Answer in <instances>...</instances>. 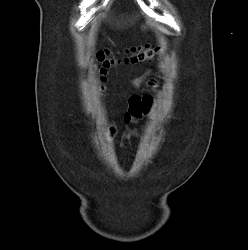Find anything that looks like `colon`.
Instances as JSON below:
<instances>
[{"instance_id":"obj_1","label":"colon","mask_w":248,"mask_h":250,"mask_svg":"<svg viewBox=\"0 0 248 250\" xmlns=\"http://www.w3.org/2000/svg\"><path fill=\"white\" fill-rule=\"evenodd\" d=\"M159 54V49L149 46L134 47L129 51V55L125 59L129 63L150 62ZM98 60L101 65V73L104 74L111 66L115 64V60L109 56L107 51L98 52ZM150 105L149 97L133 96L131 98V111L135 115L147 112Z\"/></svg>"}]
</instances>
